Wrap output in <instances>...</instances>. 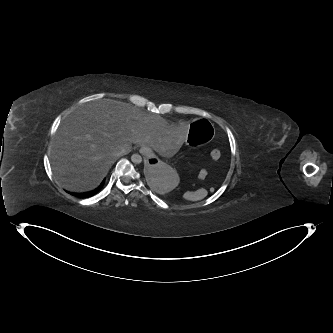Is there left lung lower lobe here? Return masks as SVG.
<instances>
[{
  "mask_svg": "<svg viewBox=\"0 0 333 333\" xmlns=\"http://www.w3.org/2000/svg\"><path fill=\"white\" fill-rule=\"evenodd\" d=\"M144 172L148 178H153L155 176V168L153 166L148 165Z\"/></svg>",
  "mask_w": 333,
  "mask_h": 333,
  "instance_id": "obj_1",
  "label": "left lung lower lobe"
}]
</instances>
